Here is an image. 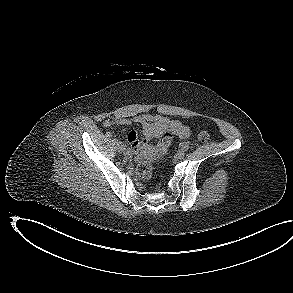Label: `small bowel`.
Masks as SVG:
<instances>
[{
	"label": "small bowel",
	"instance_id": "small-bowel-1",
	"mask_svg": "<svg viewBox=\"0 0 293 293\" xmlns=\"http://www.w3.org/2000/svg\"><path fill=\"white\" fill-rule=\"evenodd\" d=\"M135 122L141 124L144 139L139 140L135 131L127 134V141L135 149L144 147L147 142L154 138H159L163 133L170 132L179 138H188L191 135L190 128L178 120H173L162 115L142 114L134 118ZM132 123L129 118L107 119L104 122L105 127L116 125L128 126Z\"/></svg>",
	"mask_w": 293,
	"mask_h": 293
}]
</instances>
